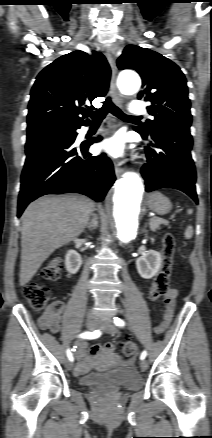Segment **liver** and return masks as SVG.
<instances>
[{"label": "liver", "mask_w": 212, "mask_h": 438, "mask_svg": "<svg viewBox=\"0 0 212 438\" xmlns=\"http://www.w3.org/2000/svg\"><path fill=\"white\" fill-rule=\"evenodd\" d=\"M94 209L90 198L75 194L41 197L26 208L21 218V286L56 249L83 232Z\"/></svg>", "instance_id": "1"}]
</instances>
